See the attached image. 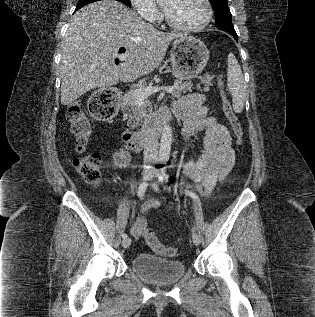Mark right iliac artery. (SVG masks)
<instances>
[{
    "label": "right iliac artery",
    "mask_w": 315,
    "mask_h": 317,
    "mask_svg": "<svg viewBox=\"0 0 315 317\" xmlns=\"http://www.w3.org/2000/svg\"><path fill=\"white\" fill-rule=\"evenodd\" d=\"M147 185L148 184L146 182H143V183L140 184L139 189H138V196H139L140 199H143L144 193H145V191L147 189ZM122 238L123 239L127 238V234L123 233L122 234Z\"/></svg>",
    "instance_id": "1"
}]
</instances>
